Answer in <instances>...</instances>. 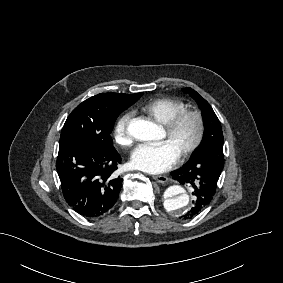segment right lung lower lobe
<instances>
[{
    "mask_svg": "<svg viewBox=\"0 0 283 283\" xmlns=\"http://www.w3.org/2000/svg\"><path fill=\"white\" fill-rule=\"evenodd\" d=\"M121 158L115 148L83 140L60 143L56 169L66 202L78 214L97 218L114 206L123 179L115 173Z\"/></svg>",
    "mask_w": 283,
    "mask_h": 283,
    "instance_id": "1",
    "label": "right lung lower lobe"
}]
</instances>
